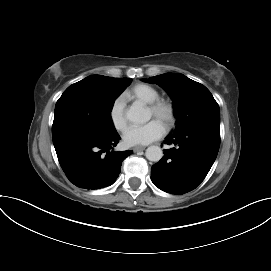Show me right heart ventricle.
Wrapping results in <instances>:
<instances>
[{"instance_id":"obj_1","label":"right heart ventricle","mask_w":271,"mask_h":271,"mask_svg":"<svg viewBox=\"0 0 271 271\" xmlns=\"http://www.w3.org/2000/svg\"><path fill=\"white\" fill-rule=\"evenodd\" d=\"M126 97L150 104L160 96L159 91L149 84H137L125 93Z\"/></svg>"}]
</instances>
